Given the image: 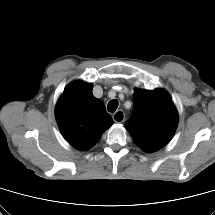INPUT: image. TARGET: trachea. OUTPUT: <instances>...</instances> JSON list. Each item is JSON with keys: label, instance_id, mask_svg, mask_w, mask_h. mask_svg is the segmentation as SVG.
Returning a JSON list of instances; mask_svg holds the SVG:
<instances>
[{"label": "trachea", "instance_id": "1", "mask_svg": "<svg viewBox=\"0 0 215 215\" xmlns=\"http://www.w3.org/2000/svg\"><path fill=\"white\" fill-rule=\"evenodd\" d=\"M118 107V100L113 99L108 103V111L114 113Z\"/></svg>", "mask_w": 215, "mask_h": 215}]
</instances>
